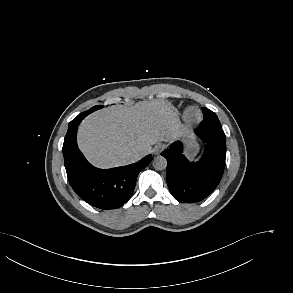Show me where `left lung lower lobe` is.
<instances>
[{
  "label": "left lung lower lobe",
  "mask_w": 293,
  "mask_h": 293,
  "mask_svg": "<svg viewBox=\"0 0 293 293\" xmlns=\"http://www.w3.org/2000/svg\"><path fill=\"white\" fill-rule=\"evenodd\" d=\"M195 133L203 140L202 158L189 162L182 154V144L172 143L161 155L167 159L166 181L173 197L183 203L205 199L218 186L225 167L226 138L223 130L214 132L200 123Z\"/></svg>",
  "instance_id": "0a47b994"
}]
</instances>
